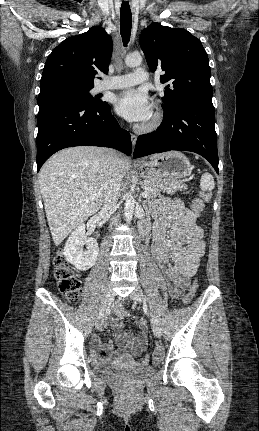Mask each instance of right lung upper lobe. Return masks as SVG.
Masks as SVG:
<instances>
[{
    "label": "right lung upper lobe",
    "instance_id": "obj_1",
    "mask_svg": "<svg viewBox=\"0 0 259 431\" xmlns=\"http://www.w3.org/2000/svg\"><path fill=\"white\" fill-rule=\"evenodd\" d=\"M112 39L100 26L65 39L48 56L40 84L66 81L84 88H93L95 76L108 73Z\"/></svg>",
    "mask_w": 259,
    "mask_h": 431
}]
</instances>
